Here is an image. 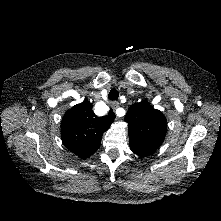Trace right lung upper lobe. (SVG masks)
<instances>
[{"label": "right lung upper lobe", "mask_w": 221, "mask_h": 221, "mask_svg": "<svg viewBox=\"0 0 221 221\" xmlns=\"http://www.w3.org/2000/svg\"><path fill=\"white\" fill-rule=\"evenodd\" d=\"M113 119L97 117L90 102L84 101L73 106L63 116L61 139L65 147L82 159L94 154L100 147L103 133Z\"/></svg>", "instance_id": "obj_1"}]
</instances>
